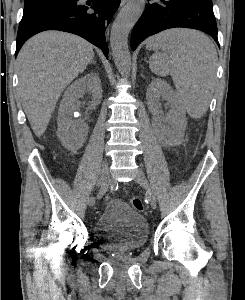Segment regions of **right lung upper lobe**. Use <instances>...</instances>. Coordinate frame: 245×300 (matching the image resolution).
<instances>
[{"mask_svg": "<svg viewBox=\"0 0 245 300\" xmlns=\"http://www.w3.org/2000/svg\"><path fill=\"white\" fill-rule=\"evenodd\" d=\"M30 1H34V0H25V2H30Z\"/></svg>", "mask_w": 245, "mask_h": 300, "instance_id": "obj_1", "label": "right lung upper lobe"}]
</instances>
